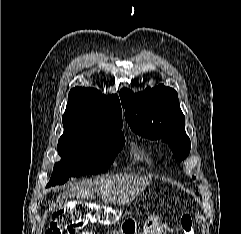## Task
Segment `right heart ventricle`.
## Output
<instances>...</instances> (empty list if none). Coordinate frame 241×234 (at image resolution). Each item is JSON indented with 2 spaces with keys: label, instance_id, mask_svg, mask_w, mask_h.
Segmentation results:
<instances>
[{
  "label": "right heart ventricle",
  "instance_id": "right-heart-ventricle-1",
  "mask_svg": "<svg viewBox=\"0 0 241 234\" xmlns=\"http://www.w3.org/2000/svg\"><path fill=\"white\" fill-rule=\"evenodd\" d=\"M134 156L137 158V159H143V155L139 152V151H134Z\"/></svg>",
  "mask_w": 241,
  "mask_h": 234
}]
</instances>
